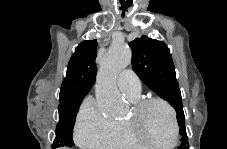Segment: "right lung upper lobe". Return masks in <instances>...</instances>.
<instances>
[{"label":"right lung upper lobe","mask_w":227,"mask_h":149,"mask_svg":"<svg viewBox=\"0 0 227 149\" xmlns=\"http://www.w3.org/2000/svg\"><path fill=\"white\" fill-rule=\"evenodd\" d=\"M97 41L86 40L75 49L61 85L60 104L83 99L95 82Z\"/></svg>","instance_id":"obj_1"}]
</instances>
